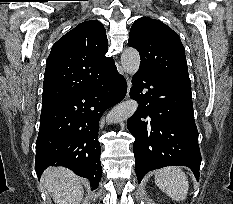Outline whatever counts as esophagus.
Listing matches in <instances>:
<instances>
[{
	"label": "esophagus",
	"mask_w": 233,
	"mask_h": 204,
	"mask_svg": "<svg viewBox=\"0 0 233 204\" xmlns=\"http://www.w3.org/2000/svg\"><path fill=\"white\" fill-rule=\"evenodd\" d=\"M127 83H128V91H127V97L129 96V90H130V80L127 78Z\"/></svg>",
	"instance_id": "1"
}]
</instances>
